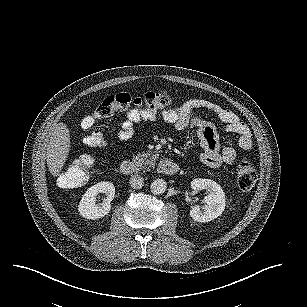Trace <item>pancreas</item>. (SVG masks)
<instances>
[{
    "mask_svg": "<svg viewBox=\"0 0 307 307\" xmlns=\"http://www.w3.org/2000/svg\"><path fill=\"white\" fill-rule=\"evenodd\" d=\"M157 156L152 152L137 154L134 163L139 170H151L155 166Z\"/></svg>",
    "mask_w": 307,
    "mask_h": 307,
    "instance_id": "1",
    "label": "pancreas"
}]
</instances>
